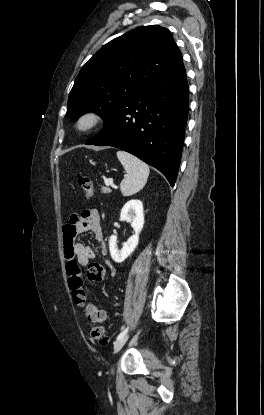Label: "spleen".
Here are the masks:
<instances>
[{"mask_svg": "<svg viewBox=\"0 0 264 415\" xmlns=\"http://www.w3.org/2000/svg\"><path fill=\"white\" fill-rule=\"evenodd\" d=\"M116 154L127 173L120 184L121 193L131 196L145 186L150 172L149 166L125 151H117Z\"/></svg>", "mask_w": 264, "mask_h": 415, "instance_id": "3e777b00", "label": "spleen"}]
</instances>
